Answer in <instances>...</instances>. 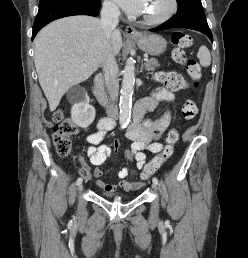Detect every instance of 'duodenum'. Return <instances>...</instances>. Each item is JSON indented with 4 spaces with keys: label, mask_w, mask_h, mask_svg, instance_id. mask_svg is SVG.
Wrapping results in <instances>:
<instances>
[{
    "label": "duodenum",
    "mask_w": 248,
    "mask_h": 258,
    "mask_svg": "<svg viewBox=\"0 0 248 258\" xmlns=\"http://www.w3.org/2000/svg\"><path fill=\"white\" fill-rule=\"evenodd\" d=\"M103 83H104L103 75L101 73L97 74L94 79V93L97 97L99 104L102 107L106 108L110 112L112 117H116L114 109L108 105V99L104 92Z\"/></svg>",
    "instance_id": "duodenum-1"
}]
</instances>
